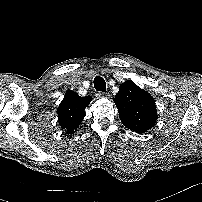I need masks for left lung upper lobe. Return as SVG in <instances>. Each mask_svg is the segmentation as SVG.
<instances>
[{
  "label": "left lung upper lobe",
  "instance_id": "obj_1",
  "mask_svg": "<svg viewBox=\"0 0 202 202\" xmlns=\"http://www.w3.org/2000/svg\"><path fill=\"white\" fill-rule=\"evenodd\" d=\"M121 122L130 130L145 133L157 119L154 99L132 81L120 86L114 98Z\"/></svg>",
  "mask_w": 202,
  "mask_h": 202
}]
</instances>
